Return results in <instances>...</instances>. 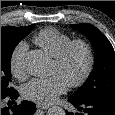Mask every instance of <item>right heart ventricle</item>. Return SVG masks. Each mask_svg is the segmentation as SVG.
<instances>
[{"label":"right heart ventricle","mask_w":115,"mask_h":115,"mask_svg":"<svg viewBox=\"0 0 115 115\" xmlns=\"http://www.w3.org/2000/svg\"><path fill=\"white\" fill-rule=\"evenodd\" d=\"M71 40L68 34L52 27L41 30L34 37V42L52 58H56Z\"/></svg>","instance_id":"1"}]
</instances>
